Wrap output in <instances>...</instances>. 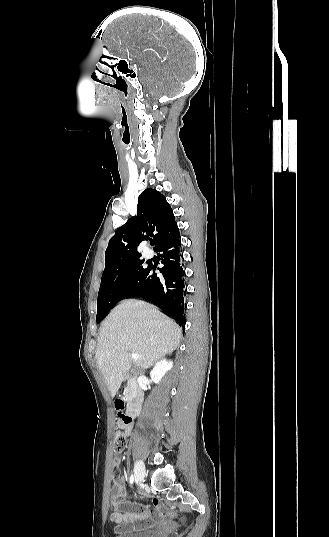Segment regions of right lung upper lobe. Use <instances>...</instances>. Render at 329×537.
Returning <instances> with one entry per match:
<instances>
[{"mask_svg":"<svg viewBox=\"0 0 329 537\" xmlns=\"http://www.w3.org/2000/svg\"><path fill=\"white\" fill-rule=\"evenodd\" d=\"M178 230L171 206L157 190L145 189L138 197L137 216L131 217L116 230L105 252V266L139 258L137 246L149 237L156 241L154 249Z\"/></svg>","mask_w":329,"mask_h":537,"instance_id":"right-lung-upper-lobe-1","label":"right lung upper lobe"}]
</instances>
